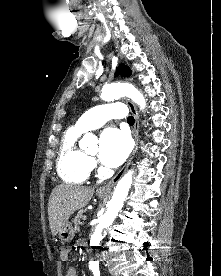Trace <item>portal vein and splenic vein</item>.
Instances as JSON below:
<instances>
[{
	"label": "portal vein and splenic vein",
	"mask_w": 221,
	"mask_h": 276,
	"mask_svg": "<svg viewBox=\"0 0 221 276\" xmlns=\"http://www.w3.org/2000/svg\"><path fill=\"white\" fill-rule=\"evenodd\" d=\"M82 219H83V221H85V220L87 219V216L84 215V216L82 217Z\"/></svg>",
	"instance_id": "obj_1"
}]
</instances>
